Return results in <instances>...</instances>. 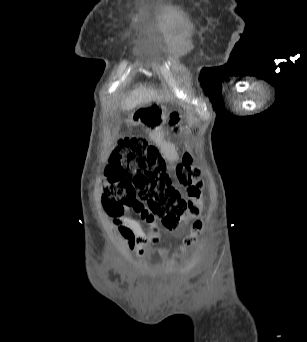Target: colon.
Returning a JSON list of instances; mask_svg holds the SVG:
<instances>
[{"label": "colon", "instance_id": "obj_1", "mask_svg": "<svg viewBox=\"0 0 307 342\" xmlns=\"http://www.w3.org/2000/svg\"><path fill=\"white\" fill-rule=\"evenodd\" d=\"M169 126L176 135L183 131L179 111L169 114ZM104 175L107 182L100 180L101 202L109 213L124 211L123 192L132 188L135 200L141 205L146 204L152 216L166 229H175L182 222L191 226L192 232L184 239L187 247H191L200 235L203 221L197 219L191 223V219L200 213L198 203L203 196V182L199 179L198 167L192 164L190 153L183 152L175 168V179L185 191L186 198L174 186L158 148L140 136L119 139L110 157L109 170ZM165 240L168 246L174 245L170 235ZM167 245L162 243L160 248L165 250Z\"/></svg>", "mask_w": 307, "mask_h": 342}]
</instances>
